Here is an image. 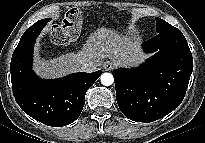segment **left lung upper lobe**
<instances>
[{
    "label": "left lung upper lobe",
    "mask_w": 205,
    "mask_h": 143,
    "mask_svg": "<svg viewBox=\"0 0 205 143\" xmlns=\"http://www.w3.org/2000/svg\"><path fill=\"white\" fill-rule=\"evenodd\" d=\"M156 31L157 33L170 32L178 30L176 27L170 25L161 18L156 17Z\"/></svg>",
    "instance_id": "1"
}]
</instances>
